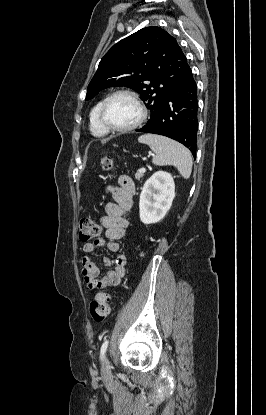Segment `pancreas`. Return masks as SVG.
I'll list each match as a JSON object with an SVG mask.
<instances>
[{"instance_id":"1","label":"pancreas","mask_w":266,"mask_h":415,"mask_svg":"<svg viewBox=\"0 0 266 415\" xmlns=\"http://www.w3.org/2000/svg\"><path fill=\"white\" fill-rule=\"evenodd\" d=\"M143 176H144V172H143V173H141V172H137V173L135 174V179H136L137 181H140V180L143 178Z\"/></svg>"}]
</instances>
